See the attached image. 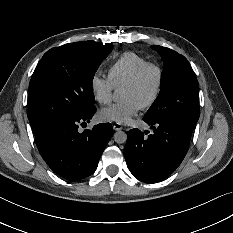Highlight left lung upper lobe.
<instances>
[{
    "label": "left lung upper lobe",
    "instance_id": "obj_1",
    "mask_svg": "<svg viewBox=\"0 0 233 233\" xmlns=\"http://www.w3.org/2000/svg\"><path fill=\"white\" fill-rule=\"evenodd\" d=\"M151 47L161 55L164 70L160 93L143 120L151 123L181 121L196 124L200 116L199 85L188 60L169 48Z\"/></svg>",
    "mask_w": 233,
    "mask_h": 233
}]
</instances>
